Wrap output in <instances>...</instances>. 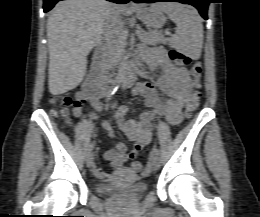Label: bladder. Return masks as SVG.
Wrapping results in <instances>:
<instances>
[{
  "label": "bladder",
  "instance_id": "bladder-1",
  "mask_svg": "<svg viewBox=\"0 0 260 217\" xmlns=\"http://www.w3.org/2000/svg\"><path fill=\"white\" fill-rule=\"evenodd\" d=\"M139 175L127 167H121L113 172L104 184H99L97 190L105 196H122L137 200L147 192V185L140 183Z\"/></svg>",
  "mask_w": 260,
  "mask_h": 217
}]
</instances>
